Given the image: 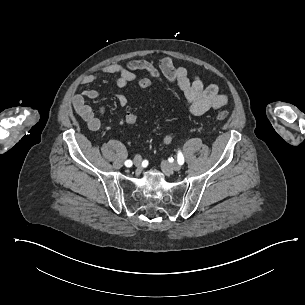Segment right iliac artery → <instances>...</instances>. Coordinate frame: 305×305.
Segmentation results:
<instances>
[{
    "mask_svg": "<svg viewBox=\"0 0 305 305\" xmlns=\"http://www.w3.org/2000/svg\"><path fill=\"white\" fill-rule=\"evenodd\" d=\"M125 165H126L127 167H131V166H132V161H131V160L125 161Z\"/></svg>",
    "mask_w": 305,
    "mask_h": 305,
    "instance_id": "1",
    "label": "right iliac artery"
}]
</instances>
